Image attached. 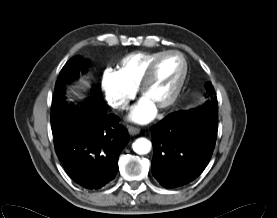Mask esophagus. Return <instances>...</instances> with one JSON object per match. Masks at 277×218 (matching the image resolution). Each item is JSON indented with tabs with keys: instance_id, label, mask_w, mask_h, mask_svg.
<instances>
[{
	"instance_id": "esophagus-1",
	"label": "esophagus",
	"mask_w": 277,
	"mask_h": 218,
	"mask_svg": "<svg viewBox=\"0 0 277 218\" xmlns=\"http://www.w3.org/2000/svg\"><path fill=\"white\" fill-rule=\"evenodd\" d=\"M128 132H129V134H131V135H137V134H139L140 129L137 128V127L128 126Z\"/></svg>"
}]
</instances>
